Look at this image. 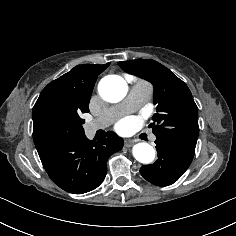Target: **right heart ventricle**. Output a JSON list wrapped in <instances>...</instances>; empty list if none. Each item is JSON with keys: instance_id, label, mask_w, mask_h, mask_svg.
<instances>
[{"instance_id": "right-heart-ventricle-1", "label": "right heart ventricle", "mask_w": 236, "mask_h": 236, "mask_svg": "<svg viewBox=\"0 0 236 236\" xmlns=\"http://www.w3.org/2000/svg\"><path fill=\"white\" fill-rule=\"evenodd\" d=\"M138 84H141V85H148L146 82H143V81L138 82Z\"/></svg>"}]
</instances>
